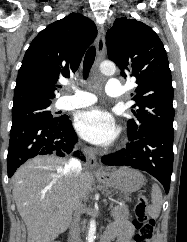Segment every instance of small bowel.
Listing matches in <instances>:
<instances>
[{
    "instance_id": "obj_1",
    "label": "small bowel",
    "mask_w": 187,
    "mask_h": 242,
    "mask_svg": "<svg viewBox=\"0 0 187 242\" xmlns=\"http://www.w3.org/2000/svg\"><path fill=\"white\" fill-rule=\"evenodd\" d=\"M106 234L112 238L117 237V242H133L131 238L134 234V227L126 220H118L108 227Z\"/></svg>"
}]
</instances>
